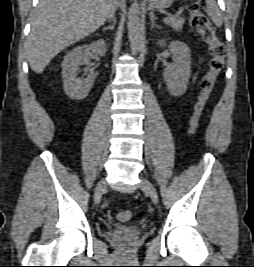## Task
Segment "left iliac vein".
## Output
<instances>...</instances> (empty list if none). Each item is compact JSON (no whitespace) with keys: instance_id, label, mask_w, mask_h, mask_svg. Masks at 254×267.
<instances>
[{"instance_id":"1","label":"left iliac vein","mask_w":254,"mask_h":267,"mask_svg":"<svg viewBox=\"0 0 254 267\" xmlns=\"http://www.w3.org/2000/svg\"><path fill=\"white\" fill-rule=\"evenodd\" d=\"M140 187L149 194L155 204L158 202L157 190L149 180L141 178Z\"/></svg>"}]
</instances>
